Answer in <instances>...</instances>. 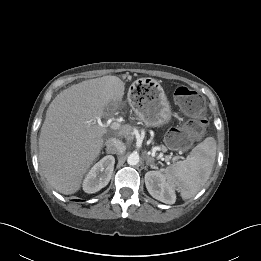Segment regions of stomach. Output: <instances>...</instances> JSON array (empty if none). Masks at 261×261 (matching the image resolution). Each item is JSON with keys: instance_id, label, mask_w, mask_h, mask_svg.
Masks as SVG:
<instances>
[{"instance_id": "1", "label": "stomach", "mask_w": 261, "mask_h": 261, "mask_svg": "<svg viewBox=\"0 0 261 261\" xmlns=\"http://www.w3.org/2000/svg\"><path fill=\"white\" fill-rule=\"evenodd\" d=\"M143 81L141 96L131 97V104L136 114L147 127H160L167 124L171 120L172 111L163 87L154 79H150L147 83Z\"/></svg>"}]
</instances>
